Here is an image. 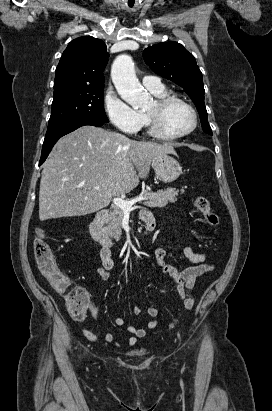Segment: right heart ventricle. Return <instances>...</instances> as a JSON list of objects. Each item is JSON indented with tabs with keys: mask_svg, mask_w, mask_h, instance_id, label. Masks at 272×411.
<instances>
[{
	"mask_svg": "<svg viewBox=\"0 0 272 411\" xmlns=\"http://www.w3.org/2000/svg\"><path fill=\"white\" fill-rule=\"evenodd\" d=\"M150 92H151L152 94H154L156 97H162V96H166V95H167V92H166V90H165L164 88L161 89V90H150ZM143 124H146V119H145V118H144Z\"/></svg>",
	"mask_w": 272,
	"mask_h": 411,
	"instance_id": "right-heart-ventricle-1",
	"label": "right heart ventricle"
}]
</instances>
